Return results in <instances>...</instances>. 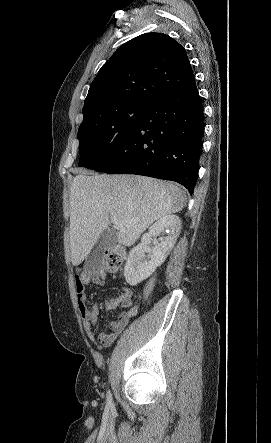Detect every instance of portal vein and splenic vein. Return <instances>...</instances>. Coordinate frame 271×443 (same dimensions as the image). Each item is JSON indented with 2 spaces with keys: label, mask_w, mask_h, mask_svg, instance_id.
<instances>
[{
  "label": "portal vein and splenic vein",
  "mask_w": 271,
  "mask_h": 443,
  "mask_svg": "<svg viewBox=\"0 0 271 443\" xmlns=\"http://www.w3.org/2000/svg\"><path fill=\"white\" fill-rule=\"evenodd\" d=\"M111 222H112V223H115V225H116V223L119 222V220H117V216H115V214H112V216H111Z\"/></svg>",
  "instance_id": "portal-vein-and-splenic-vein-1"
}]
</instances>
